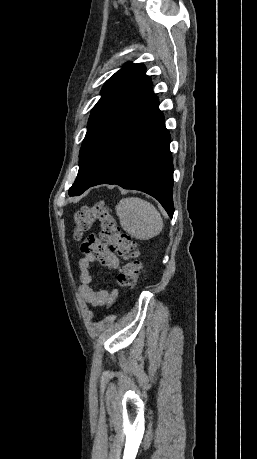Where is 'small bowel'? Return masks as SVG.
Returning a JSON list of instances; mask_svg holds the SVG:
<instances>
[{
    "label": "small bowel",
    "instance_id": "obj_1",
    "mask_svg": "<svg viewBox=\"0 0 257 459\" xmlns=\"http://www.w3.org/2000/svg\"><path fill=\"white\" fill-rule=\"evenodd\" d=\"M81 253L82 258L78 262L81 281L80 295L94 307H110L118 296V290L116 288L111 290L97 288L93 284L95 273L92 268L97 264L99 267L115 271L119 265L118 258L106 244L101 243L93 235L81 245Z\"/></svg>",
    "mask_w": 257,
    "mask_h": 459
}]
</instances>
